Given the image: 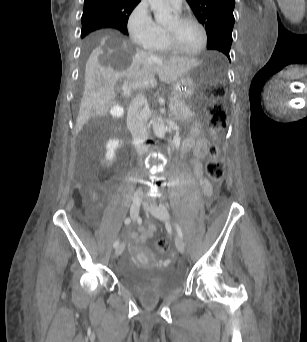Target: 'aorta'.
I'll use <instances>...</instances> for the list:
<instances>
[{
	"mask_svg": "<svg viewBox=\"0 0 307 342\" xmlns=\"http://www.w3.org/2000/svg\"><path fill=\"white\" fill-rule=\"evenodd\" d=\"M150 10H152L155 18V22L158 24H170L175 20L172 16V8L166 0H148ZM153 132L157 138H165L167 126H165L163 120L157 118L156 122L152 124Z\"/></svg>",
	"mask_w": 307,
	"mask_h": 342,
	"instance_id": "1",
	"label": "aorta"
}]
</instances>
